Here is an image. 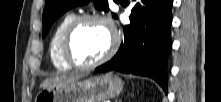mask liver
<instances>
[{
  "label": "liver",
  "instance_id": "liver-1",
  "mask_svg": "<svg viewBox=\"0 0 221 102\" xmlns=\"http://www.w3.org/2000/svg\"><path fill=\"white\" fill-rule=\"evenodd\" d=\"M80 78L79 76H66V75H61V76H56L50 79L45 80L42 82L40 85V88H50L54 86H61L66 83L72 82Z\"/></svg>",
  "mask_w": 221,
  "mask_h": 102
}]
</instances>
